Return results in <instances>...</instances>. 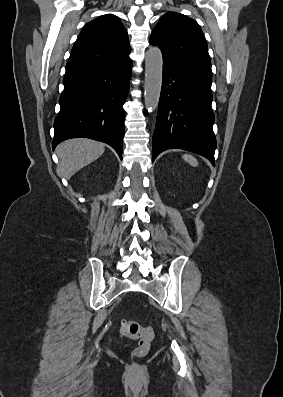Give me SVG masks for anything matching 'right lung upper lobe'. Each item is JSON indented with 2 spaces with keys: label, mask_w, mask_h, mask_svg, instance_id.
Returning <instances> with one entry per match:
<instances>
[{
  "label": "right lung upper lobe",
  "mask_w": 283,
  "mask_h": 397,
  "mask_svg": "<svg viewBox=\"0 0 283 397\" xmlns=\"http://www.w3.org/2000/svg\"><path fill=\"white\" fill-rule=\"evenodd\" d=\"M127 31L112 14L88 22L81 30L66 65L64 78L130 61Z\"/></svg>",
  "instance_id": "cb5924a9"
}]
</instances>
